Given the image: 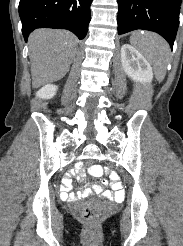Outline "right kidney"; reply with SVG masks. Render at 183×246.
I'll return each mask as SVG.
<instances>
[{
    "mask_svg": "<svg viewBox=\"0 0 183 246\" xmlns=\"http://www.w3.org/2000/svg\"><path fill=\"white\" fill-rule=\"evenodd\" d=\"M57 91V86L52 84H47L43 86L37 93L36 96L42 99H50L52 98Z\"/></svg>",
    "mask_w": 183,
    "mask_h": 246,
    "instance_id": "ca27d5eb",
    "label": "right kidney"
}]
</instances>
